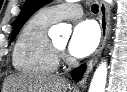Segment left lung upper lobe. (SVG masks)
Returning a JSON list of instances; mask_svg holds the SVG:
<instances>
[{
    "instance_id": "obj_1",
    "label": "left lung upper lobe",
    "mask_w": 127,
    "mask_h": 92,
    "mask_svg": "<svg viewBox=\"0 0 127 92\" xmlns=\"http://www.w3.org/2000/svg\"><path fill=\"white\" fill-rule=\"evenodd\" d=\"M52 0H27L15 22V26L13 29L11 41L17 36L18 32L20 31L21 27L24 23L28 20V18L40 7L44 6L45 4L51 2Z\"/></svg>"
}]
</instances>
